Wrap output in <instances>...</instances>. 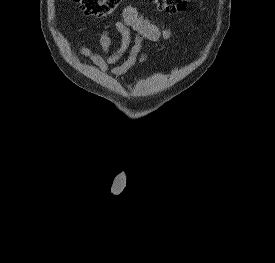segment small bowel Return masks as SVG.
<instances>
[{
	"label": "small bowel",
	"instance_id": "c3829d8e",
	"mask_svg": "<svg viewBox=\"0 0 275 263\" xmlns=\"http://www.w3.org/2000/svg\"><path fill=\"white\" fill-rule=\"evenodd\" d=\"M115 28L121 35V44L116 52H110L111 38L107 29L101 32L99 38L102 54L93 52L85 45H81L79 51L101 72L116 78L125 75L137 62L146 61L147 55L139 57L145 40L162 41L170 36V31L162 29L155 21L141 17L136 8L130 5L123 8L122 19L116 21ZM131 30L134 32L132 45ZM126 53L127 57L121 63Z\"/></svg>",
	"mask_w": 275,
	"mask_h": 263
}]
</instances>
